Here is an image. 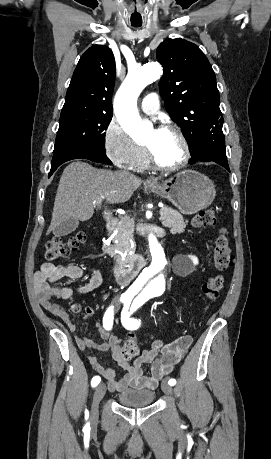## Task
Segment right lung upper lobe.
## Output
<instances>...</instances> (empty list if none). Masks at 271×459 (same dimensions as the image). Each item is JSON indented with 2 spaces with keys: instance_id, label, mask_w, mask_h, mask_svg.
Wrapping results in <instances>:
<instances>
[{
  "instance_id": "1",
  "label": "right lung upper lobe",
  "mask_w": 271,
  "mask_h": 459,
  "mask_svg": "<svg viewBox=\"0 0 271 459\" xmlns=\"http://www.w3.org/2000/svg\"><path fill=\"white\" fill-rule=\"evenodd\" d=\"M115 59L107 46L94 45L80 58L61 113H112Z\"/></svg>"
}]
</instances>
